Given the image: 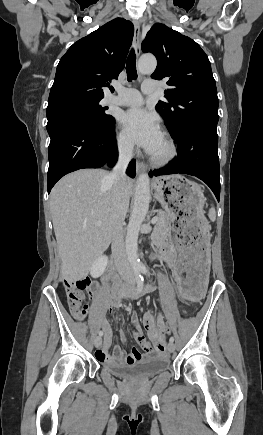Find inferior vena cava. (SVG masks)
Returning <instances> with one entry per match:
<instances>
[{"label":"inferior vena cava","mask_w":263,"mask_h":435,"mask_svg":"<svg viewBox=\"0 0 263 435\" xmlns=\"http://www.w3.org/2000/svg\"><path fill=\"white\" fill-rule=\"evenodd\" d=\"M133 145L129 144L119 152L118 161L107 180L112 183L113 218L111 227V249L116 268L120 275H131L123 235V221L129 206V193L126 186V168L132 157Z\"/></svg>","instance_id":"602c4592"}]
</instances>
